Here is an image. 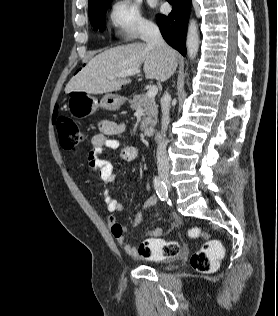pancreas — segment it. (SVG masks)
I'll return each instance as SVG.
<instances>
[{
  "label": "pancreas",
  "instance_id": "1",
  "mask_svg": "<svg viewBox=\"0 0 278 316\" xmlns=\"http://www.w3.org/2000/svg\"><path fill=\"white\" fill-rule=\"evenodd\" d=\"M130 107L133 110L142 108L147 117H143L140 129L143 131L148 125L154 126L158 117V106L154 98H149L144 94L135 95L133 99L129 101Z\"/></svg>",
  "mask_w": 278,
  "mask_h": 316
}]
</instances>
